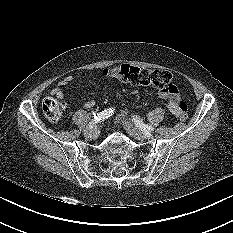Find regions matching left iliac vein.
Listing matches in <instances>:
<instances>
[{"instance_id":"1","label":"left iliac vein","mask_w":233,"mask_h":233,"mask_svg":"<svg viewBox=\"0 0 233 233\" xmlns=\"http://www.w3.org/2000/svg\"><path fill=\"white\" fill-rule=\"evenodd\" d=\"M123 126L125 130L135 139L143 140L147 138H151L152 134L150 132H143L139 128L135 127L130 121L124 120Z\"/></svg>"}]
</instances>
